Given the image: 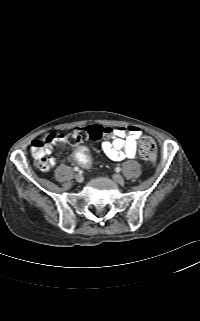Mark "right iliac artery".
I'll return each mask as SVG.
<instances>
[{"label":"right iliac artery","mask_w":200,"mask_h":321,"mask_svg":"<svg viewBox=\"0 0 200 321\" xmlns=\"http://www.w3.org/2000/svg\"><path fill=\"white\" fill-rule=\"evenodd\" d=\"M75 171H80V169L78 167H74Z\"/></svg>","instance_id":"right-iliac-artery-1"}]
</instances>
